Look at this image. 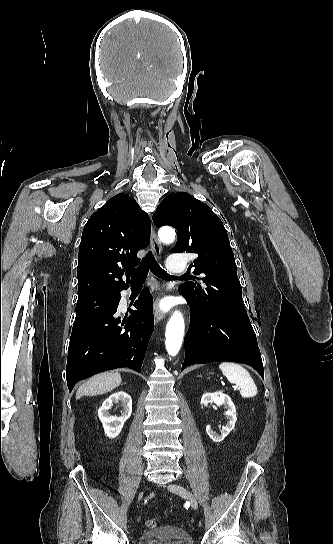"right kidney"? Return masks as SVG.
<instances>
[{"label": "right kidney", "mask_w": 333, "mask_h": 544, "mask_svg": "<svg viewBox=\"0 0 333 544\" xmlns=\"http://www.w3.org/2000/svg\"><path fill=\"white\" fill-rule=\"evenodd\" d=\"M113 403L121 404L123 412H121L120 417L110 415L109 409H111ZM131 413L132 399L127 393L119 391L111 394L98 410V417L102 422L105 434L111 439L117 437Z\"/></svg>", "instance_id": "right-kidney-1"}]
</instances>
